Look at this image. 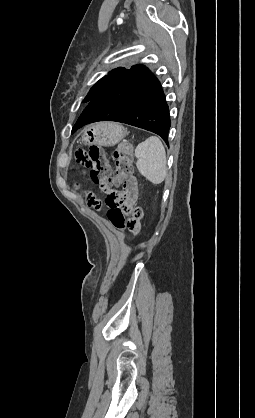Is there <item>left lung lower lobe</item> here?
<instances>
[{
	"instance_id": "obj_1",
	"label": "left lung lower lobe",
	"mask_w": 255,
	"mask_h": 418,
	"mask_svg": "<svg viewBox=\"0 0 255 418\" xmlns=\"http://www.w3.org/2000/svg\"><path fill=\"white\" fill-rule=\"evenodd\" d=\"M98 121H117L158 134L168 143L169 108L158 79L135 65L111 82L84 109L74 128Z\"/></svg>"
}]
</instances>
